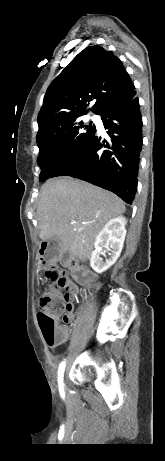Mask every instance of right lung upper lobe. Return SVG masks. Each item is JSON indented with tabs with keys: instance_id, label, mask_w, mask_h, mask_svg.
Listing matches in <instances>:
<instances>
[{
	"instance_id": "right-lung-upper-lobe-1",
	"label": "right lung upper lobe",
	"mask_w": 165,
	"mask_h": 461,
	"mask_svg": "<svg viewBox=\"0 0 165 461\" xmlns=\"http://www.w3.org/2000/svg\"><path fill=\"white\" fill-rule=\"evenodd\" d=\"M135 87L121 60L111 51L91 46L81 51L52 81L37 121V138L50 128L86 114L103 115L135 97Z\"/></svg>"
}]
</instances>
